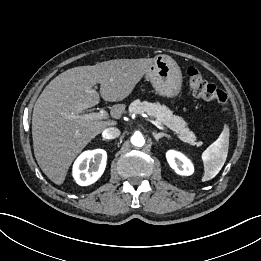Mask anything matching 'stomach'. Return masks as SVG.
<instances>
[{"mask_svg": "<svg viewBox=\"0 0 261 261\" xmlns=\"http://www.w3.org/2000/svg\"><path fill=\"white\" fill-rule=\"evenodd\" d=\"M156 93L163 97L175 98L182 87V74L180 67L168 55H157L153 64L146 73Z\"/></svg>", "mask_w": 261, "mask_h": 261, "instance_id": "1", "label": "stomach"}]
</instances>
